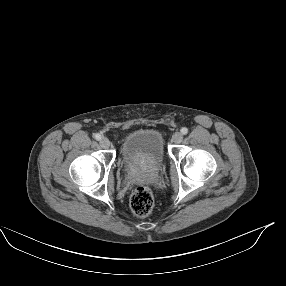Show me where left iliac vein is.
I'll list each match as a JSON object with an SVG mask.
<instances>
[{
    "label": "left iliac vein",
    "instance_id": "1",
    "mask_svg": "<svg viewBox=\"0 0 286 286\" xmlns=\"http://www.w3.org/2000/svg\"><path fill=\"white\" fill-rule=\"evenodd\" d=\"M182 140H183V134L181 132H176L172 137V141L176 144L181 143Z\"/></svg>",
    "mask_w": 286,
    "mask_h": 286
}]
</instances>
